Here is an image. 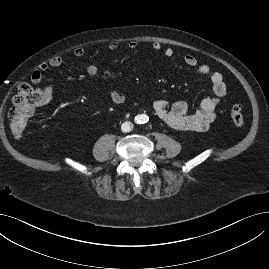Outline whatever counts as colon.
<instances>
[{
  "mask_svg": "<svg viewBox=\"0 0 269 269\" xmlns=\"http://www.w3.org/2000/svg\"><path fill=\"white\" fill-rule=\"evenodd\" d=\"M41 104V90L28 83L20 85L13 98V103L8 115L9 127L14 137L19 138L22 136L30 118ZM231 119L236 127H243L244 117L239 104H235L231 107Z\"/></svg>",
  "mask_w": 269,
  "mask_h": 269,
  "instance_id": "obj_1",
  "label": "colon"
}]
</instances>
